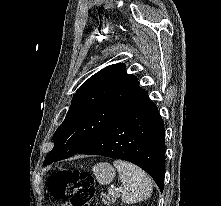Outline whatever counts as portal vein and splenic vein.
<instances>
[{
    "label": "portal vein and splenic vein",
    "instance_id": "1",
    "mask_svg": "<svg viewBox=\"0 0 221 206\" xmlns=\"http://www.w3.org/2000/svg\"><path fill=\"white\" fill-rule=\"evenodd\" d=\"M114 191H115V189L113 188V187H111L110 189H109V193H114Z\"/></svg>",
    "mask_w": 221,
    "mask_h": 206
}]
</instances>
